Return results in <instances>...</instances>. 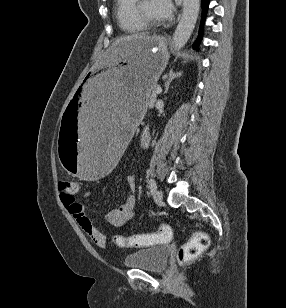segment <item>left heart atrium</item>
<instances>
[{
    "label": "left heart atrium",
    "mask_w": 286,
    "mask_h": 308,
    "mask_svg": "<svg viewBox=\"0 0 286 308\" xmlns=\"http://www.w3.org/2000/svg\"><path fill=\"white\" fill-rule=\"evenodd\" d=\"M153 2L161 19H167L171 16L173 11L171 0H153Z\"/></svg>",
    "instance_id": "39dd6f15"
}]
</instances>
